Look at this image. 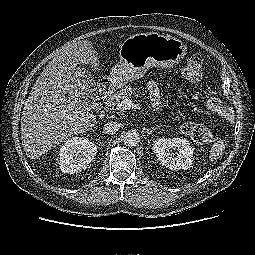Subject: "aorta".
<instances>
[{
	"label": "aorta",
	"instance_id": "762f6f07",
	"mask_svg": "<svg viewBox=\"0 0 255 255\" xmlns=\"http://www.w3.org/2000/svg\"><path fill=\"white\" fill-rule=\"evenodd\" d=\"M123 140L126 146L133 147L140 142V136L136 130H130L125 133Z\"/></svg>",
	"mask_w": 255,
	"mask_h": 255
}]
</instances>
